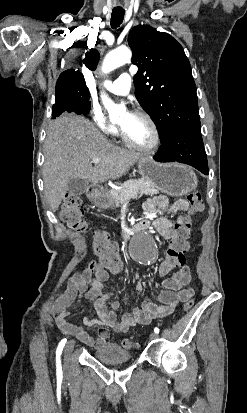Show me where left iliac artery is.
Listing matches in <instances>:
<instances>
[{
    "label": "left iliac artery",
    "mask_w": 247,
    "mask_h": 413,
    "mask_svg": "<svg viewBox=\"0 0 247 413\" xmlns=\"http://www.w3.org/2000/svg\"><path fill=\"white\" fill-rule=\"evenodd\" d=\"M154 332H155L156 334H158V333H159V329L156 327V328L154 329Z\"/></svg>",
    "instance_id": "44dca946"
}]
</instances>
